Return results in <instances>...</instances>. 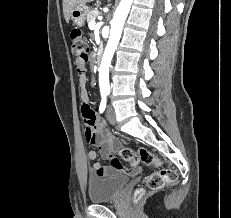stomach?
Returning a JSON list of instances; mask_svg holds the SVG:
<instances>
[{
    "mask_svg": "<svg viewBox=\"0 0 231 218\" xmlns=\"http://www.w3.org/2000/svg\"><path fill=\"white\" fill-rule=\"evenodd\" d=\"M88 12L89 8L86 5H76L70 14V18L73 21V24L78 27H82L85 23Z\"/></svg>",
    "mask_w": 231,
    "mask_h": 218,
    "instance_id": "0dacf381",
    "label": "stomach"
}]
</instances>
